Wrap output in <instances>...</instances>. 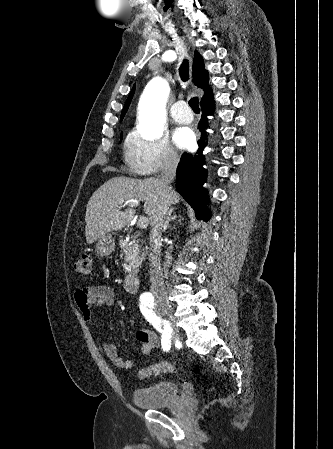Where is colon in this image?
Returning a JSON list of instances; mask_svg holds the SVG:
<instances>
[{
  "label": "colon",
  "mask_w": 333,
  "mask_h": 449,
  "mask_svg": "<svg viewBox=\"0 0 333 449\" xmlns=\"http://www.w3.org/2000/svg\"><path fill=\"white\" fill-rule=\"evenodd\" d=\"M90 256L89 255H82L80 258L76 260L74 263V270L75 272L79 274H88L90 271ZM174 371V366L167 362V361H161L158 363H155L150 366H146L141 368L138 371V375L140 378H147L151 375H159L164 373H169Z\"/></svg>",
  "instance_id": "5ec220e1"
}]
</instances>
